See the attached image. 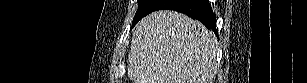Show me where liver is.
Returning a JSON list of instances; mask_svg holds the SVG:
<instances>
[{"label":"liver","mask_w":307,"mask_h":83,"mask_svg":"<svg viewBox=\"0 0 307 83\" xmlns=\"http://www.w3.org/2000/svg\"><path fill=\"white\" fill-rule=\"evenodd\" d=\"M217 40L199 21L170 10L141 19L133 33L128 76L134 83H214Z\"/></svg>","instance_id":"6515ba94"}]
</instances>
